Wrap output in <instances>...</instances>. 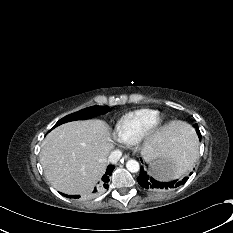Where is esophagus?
I'll return each mask as SVG.
<instances>
[{"instance_id":"esophagus-1","label":"esophagus","mask_w":233,"mask_h":233,"mask_svg":"<svg viewBox=\"0 0 233 233\" xmlns=\"http://www.w3.org/2000/svg\"><path fill=\"white\" fill-rule=\"evenodd\" d=\"M123 159H124V160L129 159V155L125 154V155L123 156Z\"/></svg>"}]
</instances>
